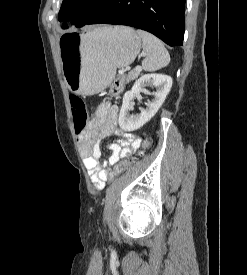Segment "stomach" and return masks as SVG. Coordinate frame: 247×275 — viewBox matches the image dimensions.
<instances>
[{
    "label": "stomach",
    "mask_w": 247,
    "mask_h": 275,
    "mask_svg": "<svg viewBox=\"0 0 247 275\" xmlns=\"http://www.w3.org/2000/svg\"><path fill=\"white\" fill-rule=\"evenodd\" d=\"M140 49L141 38L130 27L104 26L61 35L60 60L68 89L80 95L103 91L117 68L129 66Z\"/></svg>",
    "instance_id": "1"
}]
</instances>
